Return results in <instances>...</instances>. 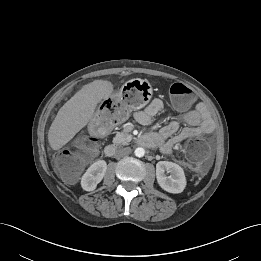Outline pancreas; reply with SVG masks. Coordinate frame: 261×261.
<instances>
[{
    "label": "pancreas",
    "mask_w": 261,
    "mask_h": 261,
    "mask_svg": "<svg viewBox=\"0 0 261 261\" xmlns=\"http://www.w3.org/2000/svg\"><path fill=\"white\" fill-rule=\"evenodd\" d=\"M132 140V135L128 134L126 131L118 132L113 138V142L118 145H128Z\"/></svg>",
    "instance_id": "pancreas-1"
}]
</instances>
